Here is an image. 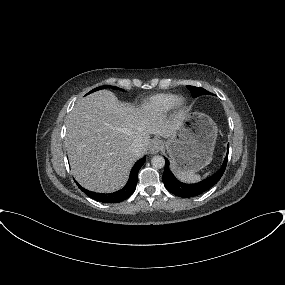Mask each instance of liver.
<instances>
[{"mask_svg": "<svg viewBox=\"0 0 285 285\" xmlns=\"http://www.w3.org/2000/svg\"><path fill=\"white\" fill-rule=\"evenodd\" d=\"M180 126V117L168 120L148 107L121 103L108 90L92 93L78 101L67 118L65 142L72 173L88 190L117 191L147 151L150 135L169 138ZM135 140L144 146L140 156L130 150Z\"/></svg>", "mask_w": 285, "mask_h": 285, "instance_id": "obj_1", "label": "liver"}]
</instances>
